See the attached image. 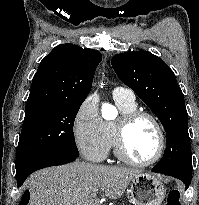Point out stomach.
Returning a JSON list of instances; mask_svg holds the SVG:
<instances>
[{
  "mask_svg": "<svg viewBox=\"0 0 199 205\" xmlns=\"http://www.w3.org/2000/svg\"><path fill=\"white\" fill-rule=\"evenodd\" d=\"M163 183L146 173H140L131 180L129 196L135 205H160L165 198Z\"/></svg>",
  "mask_w": 199,
  "mask_h": 205,
  "instance_id": "stomach-1",
  "label": "stomach"
}]
</instances>
